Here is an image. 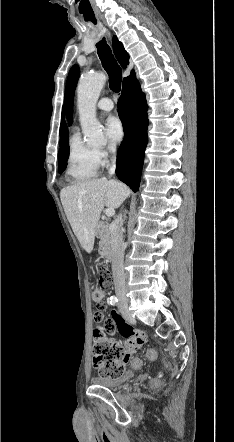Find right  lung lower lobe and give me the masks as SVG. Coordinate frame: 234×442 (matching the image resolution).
Returning <instances> with one entry per match:
<instances>
[{"label": "right lung lower lobe", "instance_id": "right-lung-lower-lobe-1", "mask_svg": "<svg viewBox=\"0 0 234 442\" xmlns=\"http://www.w3.org/2000/svg\"><path fill=\"white\" fill-rule=\"evenodd\" d=\"M147 104L135 74L123 81L118 113L123 123L124 140L117 153V177L134 192L138 191L147 144Z\"/></svg>", "mask_w": 234, "mask_h": 442}]
</instances>
